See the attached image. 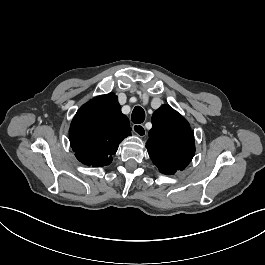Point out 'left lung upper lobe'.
Masks as SVG:
<instances>
[{
  "label": "left lung upper lobe",
  "instance_id": "5c2ea615",
  "mask_svg": "<svg viewBox=\"0 0 265 265\" xmlns=\"http://www.w3.org/2000/svg\"><path fill=\"white\" fill-rule=\"evenodd\" d=\"M151 122L146 148L153 163L166 175L184 170L195 153L194 135L189 123L168 105L156 110Z\"/></svg>",
  "mask_w": 265,
  "mask_h": 265
}]
</instances>
